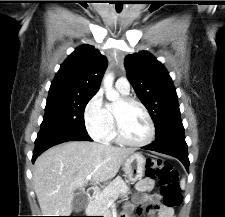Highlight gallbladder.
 <instances>
[{
	"label": "gallbladder",
	"mask_w": 225,
	"mask_h": 217,
	"mask_svg": "<svg viewBox=\"0 0 225 217\" xmlns=\"http://www.w3.org/2000/svg\"><path fill=\"white\" fill-rule=\"evenodd\" d=\"M88 202V198L87 195L85 194V192L81 191V190H77L74 192V198H73V211L74 212H80L82 211Z\"/></svg>",
	"instance_id": "bac80fb5"
}]
</instances>
